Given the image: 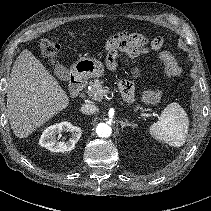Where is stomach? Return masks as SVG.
<instances>
[{
  "instance_id": "stomach-1",
  "label": "stomach",
  "mask_w": 211,
  "mask_h": 211,
  "mask_svg": "<svg viewBox=\"0 0 211 211\" xmlns=\"http://www.w3.org/2000/svg\"><path fill=\"white\" fill-rule=\"evenodd\" d=\"M104 71L103 63L93 58H81L72 66V72L81 78L101 77Z\"/></svg>"
}]
</instances>
